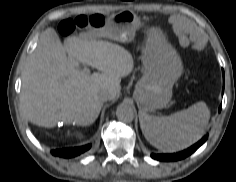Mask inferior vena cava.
<instances>
[{
    "label": "inferior vena cava",
    "instance_id": "obj_1",
    "mask_svg": "<svg viewBox=\"0 0 236 182\" xmlns=\"http://www.w3.org/2000/svg\"><path fill=\"white\" fill-rule=\"evenodd\" d=\"M99 100L102 102H105L107 100H110L112 98V94L108 90H102L98 94Z\"/></svg>",
    "mask_w": 236,
    "mask_h": 182
}]
</instances>
